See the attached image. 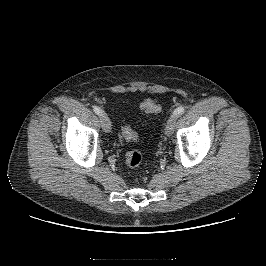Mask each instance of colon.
I'll return each mask as SVG.
<instances>
[{
  "label": "colon",
  "mask_w": 266,
  "mask_h": 266,
  "mask_svg": "<svg viewBox=\"0 0 266 266\" xmlns=\"http://www.w3.org/2000/svg\"><path fill=\"white\" fill-rule=\"evenodd\" d=\"M140 109L147 114H156L160 111V104L152 98L144 99L140 103ZM122 135L129 141H136L138 134L130 127H122ZM142 162V155L139 151L132 150L126 154V164L130 168L138 167Z\"/></svg>",
  "instance_id": "colon-1"
}]
</instances>
